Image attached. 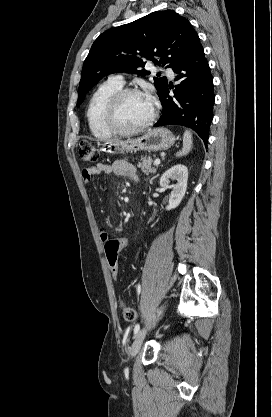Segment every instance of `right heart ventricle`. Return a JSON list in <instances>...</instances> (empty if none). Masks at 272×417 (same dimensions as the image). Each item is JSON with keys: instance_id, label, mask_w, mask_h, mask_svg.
<instances>
[{"instance_id": "obj_1", "label": "right heart ventricle", "mask_w": 272, "mask_h": 417, "mask_svg": "<svg viewBox=\"0 0 272 417\" xmlns=\"http://www.w3.org/2000/svg\"><path fill=\"white\" fill-rule=\"evenodd\" d=\"M123 88V84L111 78L101 83L90 97L87 107V120L93 135L99 139L113 136L104 122L105 108L110 98Z\"/></svg>"}]
</instances>
